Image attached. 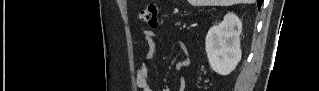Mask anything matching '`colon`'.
<instances>
[{
  "label": "colon",
  "mask_w": 319,
  "mask_h": 91,
  "mask_svg": "<svg viewBox=\"0 0 319 91\" xmlns=\"http://www.w3.org/2000/svg\"><path fill=\"white\" fill-rule=\"evenodd\" d=\"M157 12V5L150 3L140 11V20L148 24L151 28H156L158 26Z\"/></svg>",
  "instance_id": "1"
}]
</instances>
